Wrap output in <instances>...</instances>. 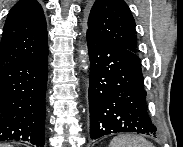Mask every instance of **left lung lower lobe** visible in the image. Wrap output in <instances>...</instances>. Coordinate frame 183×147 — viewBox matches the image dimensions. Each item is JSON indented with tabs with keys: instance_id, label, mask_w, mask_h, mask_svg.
<instances>
[{
	"instance_id": "1",
	"label": "left lung lower lobe",
	"mask_w": 183,
	"mask_h": 147,
	"mask_svg": "<svg viewBox=\"0 0 183 147\" xmlns=\"http://www.w3.org/2000/svg\"><path fill=\"white\" fill-rule=\"evenodd\" d=\"M87 43L91 138L118 132L154 136L137 53L90 33Z\"/></svg>"
}]
</instances>
